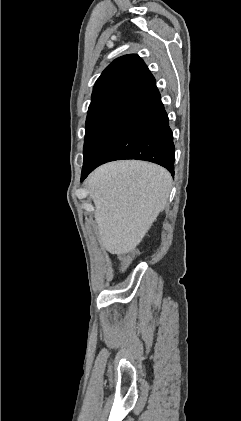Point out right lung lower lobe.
Wrapping results in <instances>:
<instances>
[{
  "instance_id": "obj_1",
  "label": "right lung lower lobe",
  "mask_w": 241,
  "mask_h": 421,
  "mask_svg": "<svg viewBox=\"0 0 241 421\" xmlns=\"http://www.w3.org/2000/svg\"><path fill=\"white\" fill-rule=\"evenodd\" d=\"M175 146L169 119L155 83L137 96L96 163L82 169L81 181L99 165L121 159L150 161L174 175Z\"/></svg>"
}]
</instances>
